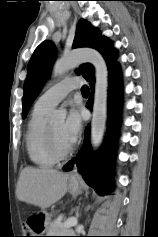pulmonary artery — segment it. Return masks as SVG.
<instances>
[{
  "label": "pulmonary artery",
  "mask_w": 158,
  "mask_h": 237,
  "mask_svg": "<svg viewBox=\"0 0 158 237\" xmlns=\"http://www.w3.org/2000/svg\"><path fill=\"white\" fill-rule=\"evenodd\" d=\"M81 84L82 79L78 77L63 79L46 90L38 98L36 104L47 109H53L70 91L79 88Z\"/></svg>",
  "instance_id": "pulmonary-artery-1"
}]
</instances>
